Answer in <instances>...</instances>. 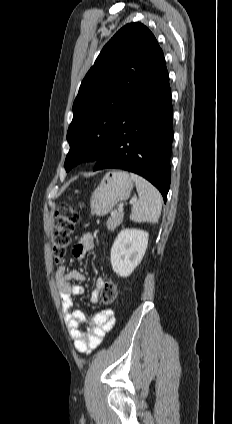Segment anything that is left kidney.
<instances>
[{"label": "left kidney", "instance_id": "obj_1", "mask_svg": "<svg viewBox=\"0 0 232 424\" xmlns=\"http://www.w3.org/2000/svg\"><path fill=\"white\" fill-rule=\"evenodd\" d=\"M149 234L139 229H123L111 248L113 271L128 277L141 262L148 245Z\"/></svg>", "mask_w": 232, "mask_h": 424}]
</instances>
